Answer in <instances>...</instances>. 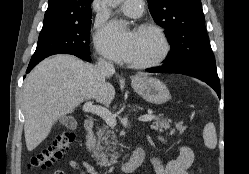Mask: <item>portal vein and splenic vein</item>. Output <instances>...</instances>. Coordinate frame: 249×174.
<instances>
[{"label":"portal vein and splenic vein","mask_w":249,"mask_h":174,"mask_svg":"<svg viewBox=\"0 0 249 174\" xmlns=\"http://www.w3.org/2000/svg\"><path fill=\"white\" fill-rule=\"evenodd\" d=\"M82 109L86 113H92V114L100 116L101 118L105 120L107 125H109L110 127L116 126V123H117L116 117L108 109L101 107V106L93 105V103L90 101L86 102L83 105ZM153 119H154V115H152L151 113L145 114L139 117V121H142V122L151 121Z\"/></svg>","instance_id":"obj_1"}]
</instances>
